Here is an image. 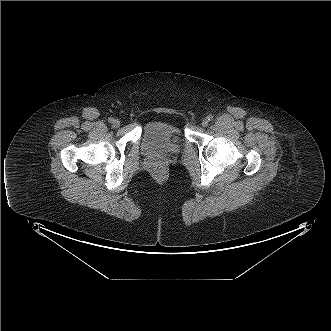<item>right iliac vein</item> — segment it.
<instances>
[{
  "instance_id": "1",
  "label": "right iliac vein",
  "mask_w": 331,
  "mask_h": 331,
  "mask_svg": "<svg viewBox=\"0 0 331 331\" xmlns=\"http://www.w3.org/2000/svg\"><path fill=\"white\" fill-rule=\"evenodd\" d=\"M112 126L114 128H118L120 126V121L119 120H114L113 123H112Z\"/></svg>"
}]
</instances>
